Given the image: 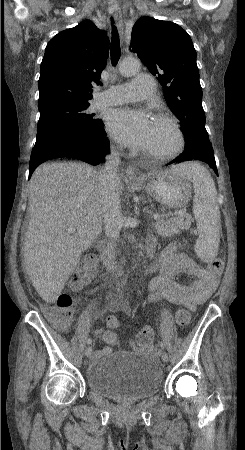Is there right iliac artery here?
<instances>
[{
  "label": "right iliac artery",
  "mask_w": 245,
  "mask_h": 450,
  "mask_svg": "<svg viewBox=\"0 0 245 450\" xmlns=\"http://www.w3.org/2000/svg\"><path fill=\"white\" fill-rule=\"evenodd\" d=\"M91 343H92V339L89 338V339L87 340V344L90 345Z\"/></svg>",
  "instance_id": "1"
}]
</instances>
